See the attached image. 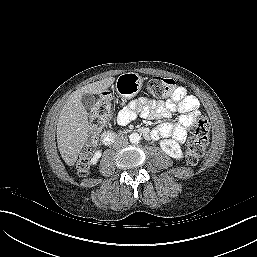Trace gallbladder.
<instances>
[{
  "label": "gallbladder",
  "mask_w": 257,
  "mask_h": 257,
  "mask_svg": "<svg viewBox=\"0 0 257 257\" xmlns=\"http://www.w3.org/2000/svg\"><path fill=\"white\" fill-rule=\"evenodd\" d=\"M81 101L85 109L90 110L94 107L96 103V98L91 93H85L83 94Z\"/></svg>",
  "instance_id": "obj_1"
}]
</instances>
